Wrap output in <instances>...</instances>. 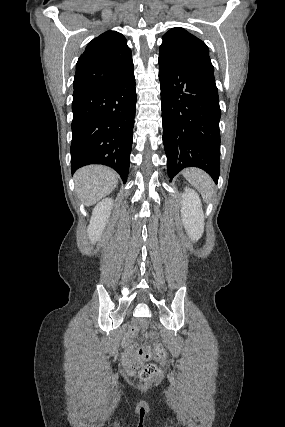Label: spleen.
I'll return each mask as SVG.
<instances>
[{
	"label": "spleen",
	"mask_w": 285,
	"mask_h": 427,
	"mask_svg": "<svg viewBox=\"0 0 285 427\" xmlns=\"http://www.w3.org/2000/svg\"><path fill=\"white\" fill-rule=\"evenodd\" d=\"M183 176L200 192L205 202L211 200L214 183L207 173L197 168H188L183 171Z\"/></svg>",
	"instance_id": "spleen-1"
}]
</instances>
